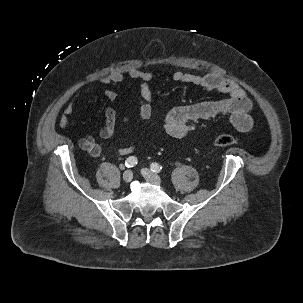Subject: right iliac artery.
<instances>
[{
	"label": "right iliac artery",
	"mask_w": 303,
	"mask_h": 303,
	"mask_svg": "<svg viewBox=\"0 0 303 303\" xmlns=\"http://www.w3.org/2000/svg\"><path fill=\"white\" fill-rule=\"evenodd\" d=\"M137 164V158L134 156H130L126 159L125 161V166L126 167H134Z\"/></svg>",
	"instance_id": "right-iliac-artery-1"
}]
</instances>
